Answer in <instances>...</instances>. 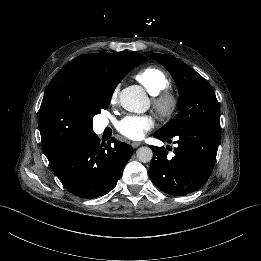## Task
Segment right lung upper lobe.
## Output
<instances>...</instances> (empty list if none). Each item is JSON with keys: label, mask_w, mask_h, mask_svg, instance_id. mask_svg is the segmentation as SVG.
Instances as JSON below:
<instances>
[{"label": "right lung upper lobe", "mask_w": 261, "mask_h": 261, "mask_svg": "<svg viewBox=\"0 0 261 261\" xmlns=\"http://www.w3.org/2000/svg\"><path fill=\"white\" fill-rule=\"evenodd\" d=\"M128 53L78 56L51 80L38 115L42 147L49 161L94 133L91 106L94 85L99 78L111 73Z\"/></svg>", "instance_id": "1"}]
</instances>
